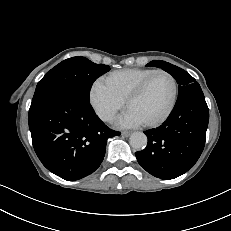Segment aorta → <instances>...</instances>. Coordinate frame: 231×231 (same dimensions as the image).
Wrapping results in <instances>:
<instances>
[{
	"instance_id": "762f6f07",
	"label": "aorta",
	"mask_w": 231,
	"mask_h": 231,
	"mask_svg": "<svg viewBox=\"0 0 231 231\" xmlns=\"http://www.w3.org/2000/svg\"><path fill=\"white\" fill-rule=\"evenodd\" d=\"M130 145L136 150L144 149L147 145V136L143 132H134L130 136Z\"/></svg>"
}]
</instances>
